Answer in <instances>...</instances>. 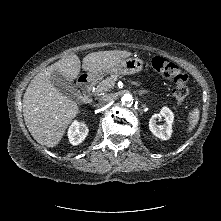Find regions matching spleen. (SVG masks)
<instances>
[{
    "instance_id": "1",
    "label": "spleen",
    "mask_w": 221,
    "mask_h": 221,
    "mask_svg": "<svg viewBox=\"0 0 221 221\" xmlns=\"http://www.w3.org/2000/svg\"><path fill=\"white\" fill-rule=\"evenodd\" d=\"M199 114L200 111L198 108H193L190 110L189 114H188V128L187 131L188 132H192V130L195 128L196 124L199 121Z\"/></svg>"
}]
</instances>
